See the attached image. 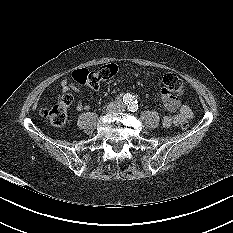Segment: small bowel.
<instances>
[{
  "instance_id": "1",
  "label": "small bowel",
  "mask_w": 233,
  "mask_h": 233,
  "mask_svg": "<svg viewBox=\"0 0 233 233\" xmlns=\"http://www.w3.org/2000/svg\"><path fill=\"white\" fill-rule=\"evenodd\" d=\"M61 90L63 94H80V90L68 78L61 81ZM161 95L165 107L173 113V115H166L162 118V125L164 127L179 126L192 117L193 113L188 105L182 104L178 98L167 94L163 89ZM72 108L75 111H82L88 110L90 106L82 100H78L73 103Z\"/></svg>"
}]
</instances>
